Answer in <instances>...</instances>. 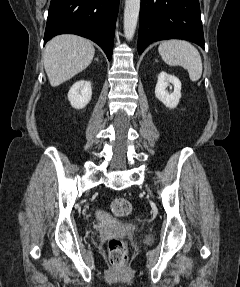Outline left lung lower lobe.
Here are the masks:
<instances>
[{
  "mask_svg": "<svg viewBox=\"0 0 240 287\" xmlns=\"http://www.w3.org/2000/svg\"><path fill=\"white\" fill-rule=\"evenodd\" d=\"M172 38L204 49L199 0H141L138 53L154 41Z\"/></svg>",
  "mask_w": 240,
  "mask_h": 287,
  "instance_id": "1",
  "label": "left lung lower lobe"
}]
</instances>
